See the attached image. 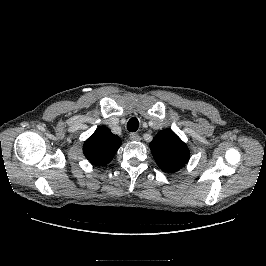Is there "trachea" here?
Returning a JSON list of instances; mask_svg holds the SVG:
<instances>
[{
  "instance_id": "3493384b",
  "label": "trachea",
  "mask_w": 266,
  "mask_h": 266,
  "mask_svg": "<svg viewBox=\"0 0 266 266\" xmlns=\"http://www.w3.org/2000/svg\"><path fill=\"white\" fill-rule=\"evenodd\" d=\"M139 127V121L137 118L133 117L131 118L127 123V130L130 132H135L138 130Z\"/></svg>"
}]
</instances>
